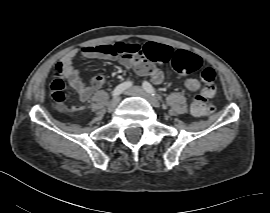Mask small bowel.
I'll use <instances>...</instances> for the list:
<instances>
[{
    "instance_id": "small-bowel-1",
    "label": "small bowel",
    "mask_w": 270,
    "mask_h": 213,
    "mask_svg": "<svg viewBox=\"0 0 270 213\" xmlns=\"http://www.w3.org/2000/svg\"><path fill=\"white\" fill-rule=\"evenodd\" d=\"M110 45H89L81 49V54L86 59H100L117 61L125 68H132L139 76L151 75L155 84H160L163 80V73L160 69L153 67L142 61H135L128 56H117L109 49ZM151 52L158 58L159 61L166 63L175 53V50L165 44L153 43ZM77 55L76 50L67 52L56 64L55 69L58 73V78L55 81H60L63 88L67 84L70 88L77 92L81 102L88 101L92 93L98 90L104 82L103 76H94L87 83L80 75V71L74 66V58ZM184 86L190 92L196 93L202 89V82L196 78H188L184 81ZM81 106L76 104L73 107L74 111H79Z\"/></svg>"
}]
</instances>
